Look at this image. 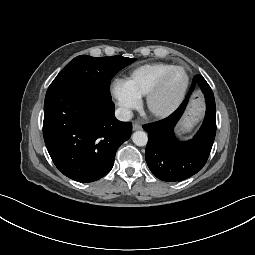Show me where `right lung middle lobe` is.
I'll list each match as a JSON object with an SVG mask.
<instances>
[{"label": "right lung middle lobe", "instance_id": "right-lung-middle-lobe-1", "mask_svg": "<svg viewBox=\"0 0 255 255\" xmlns=\"http://www.w3.org/2000/svg\"><path fill=\"white\" fill-rule=\"evenodd\" d=\"M136 59L122 56L91 57L80 55L66 65L50 84L49 89L82 87L92 89L111 99L110 82L125 66Z\"/></svg>", "mask_w": 255, "mask_h": 255}]
</instances>
